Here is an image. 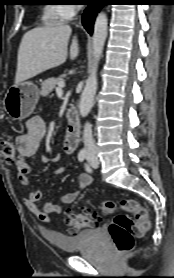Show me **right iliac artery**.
<instances>
[{
    "label": "right iliac artery",
    "instance_id": "obj_1",
    "mask_svg": "<svg viewBox=\"0 0 174 278\" xmlns=\"http://www.w3.org/2000/svg\"><path fill=\"white\" fill-rule=\"evenodd\" d=\"M85 158H86V151L83 149V150H81V151L79 152V154H78V160H79L80 162H82V161L85 160Z\"/></svg>",
    "mask_w": 174,
    "mask_h": 278
}]
</instances>
